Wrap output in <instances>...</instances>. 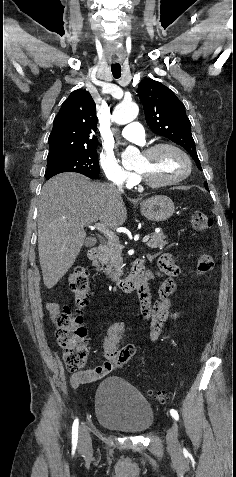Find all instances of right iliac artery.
Wrapping results in <instances>:
<instances>
[{"mask_svg":"<svg viewBox=\"0 0 236 477\" xmlns=\"http://www.w3.org/2000/svg\"><path fill=\"white\" fill-rule=\"evenodd\" d=\"M78 426H79V421L76 418L72 426V445L73 446H76L78 442Z\"/></svg>","mask_w":236,"mask_h":477,"instance_id":"right-iliac-artery-1","label":"right iliac artery"}]
</instances>
